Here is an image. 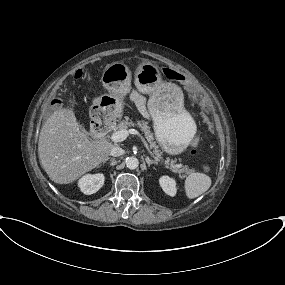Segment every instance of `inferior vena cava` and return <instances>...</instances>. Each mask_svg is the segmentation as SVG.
Here are the masks:
<instances>
[{
	"label": "inferior vena cava",
	"mask_w": 285,
	"mask_h": 285,
	"mask_svg": "<svg viewBox=\"0 0 285 285\" xmlns=\"http://www.w3.org/2000/svg\"><path fill=\"white\" fill-rule=\"evenodd\" d=\"M124 154V150L119 147V146H114L111 150H110V155L113 157H118Z\"/></svg>",
	"instance_id": "602c4592"
}]
</instances>
